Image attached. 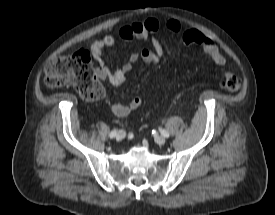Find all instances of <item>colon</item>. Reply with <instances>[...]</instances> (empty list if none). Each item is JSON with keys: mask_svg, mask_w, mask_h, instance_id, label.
Wrapping results in <instances>:
<instances>
[{"mask_svg": "<svg viewBox=\"0 0 275 215\" xmlns=\"http://www.w3.org/2000/svg\"><path fill=\"white\" fill-rule=\"evenodd\" d=\"M45 84L54 89L74 88L86 100L104 96V88L93 72L90 54L77 50L71 55L51 58L45 66ZM222 87L229 92L241 89V80L232 72L222 73Z\"/></svg>", "mask_w": 275, "mask_h": 215, "instance_id": "1", "label": "colon"}]
</instances>
